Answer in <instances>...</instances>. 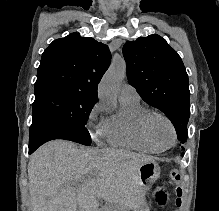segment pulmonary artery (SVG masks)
<instances>
[{"label":"pulmonary artery","mask_w":219,"mask_h":211,"mask_svg":"<svg viewBox=\"0 0 219 211\" xmlns=\"http://www.w3.org/2000/svg\"><path fill=\"white\" fill-rule=\"evenodd\" d=\"M120 100L139 101L140 95L135 87L129 84H125L120 92Z\"/></svg>","instance_id":"pulmonary-artery-1"}]
</instances>
